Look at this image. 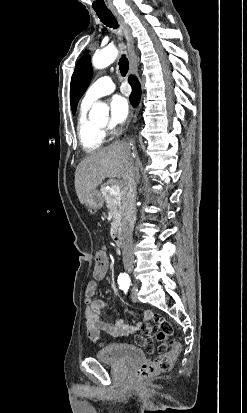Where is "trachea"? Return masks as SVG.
<instances>
[{"instance_id": "3493384b", "label": "trachea", "mask_w": 247, "mask_h": 413, "mask_svg": "<svg viewBox=\"0 0 247 413\" xmlns=\"http://www.w3.org/2000/svg\"><path fill=\"white\" fill-rule=\"evenodd\" d=\"M96 14L100 18L101 22L107 27L118 28L117 20L110 11H96ZM128 68V60L125 56H122L119 60V70L122 76L127 74Z\"/></svg>"}]
</instances>
